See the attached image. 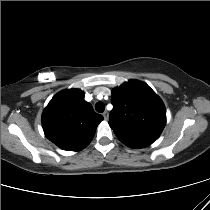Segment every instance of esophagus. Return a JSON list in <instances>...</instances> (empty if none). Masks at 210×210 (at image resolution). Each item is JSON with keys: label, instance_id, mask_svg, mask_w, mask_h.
I'll use <instances>...</instances> for the list:
<instances>
[{"label": "esophagus", "instance_id": "34e87169", "mask_svg": "<svg viewBox=\"0 0 210 210\" xmlns=\"http://www.w3.org/2000/svg\"><path fill=\"white\" fill-rule=\"evenodd\" d=\"M102 115H103V117H104L105 120H108V118H109L108 112L105 111V112H103Z\"/></svg>", "mask_w": 210, "mask_h": 210}]
</instances>
